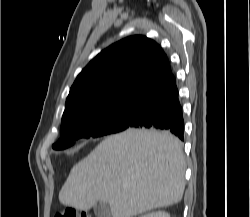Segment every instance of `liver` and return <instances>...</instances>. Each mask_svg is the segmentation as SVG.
<instances>
[{
    "label": "liver",
    "mask_w": 250,
    "mask_h": 217,
    "mask_svg": "<svg viewBox=\"0 0 250 217\" xmlns=\"http://www.w3.org/2000/svg\"><path fill=\"white\" fill-rule=\"evenodd\" d=\"M184 174L178 138L154 129L130 128L108 136L73 166L59 201L83 211L104 202L112 217H133L180 202Z\"/></svg>",
    "instance_id": "1"
}]
</instances>
